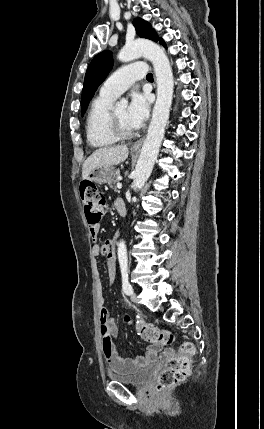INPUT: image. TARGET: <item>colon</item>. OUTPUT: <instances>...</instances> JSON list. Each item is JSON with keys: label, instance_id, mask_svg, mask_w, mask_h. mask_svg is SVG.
<instances>
[{"label": "colon", "instance_id": "colon-1", "mask_svg": "<svg viewBox=\"0 0 264 429\" xmlns=\"http://www.w3.org/2000/svg\"><path fill=\"white\" fill-rule=\"evenodd\" d=\"M80 195L86 219L91 227H96L107 210L106 199L90 181L81 182ZM124 320L126 323H132L128 316H125ZM134 324L138 335L151 344L167 346L174 341V335L166 329H160L154 324L141 320ZM194 354L193 344L186 342L180 346L177 353L168 355L165 368L157 380V390L164 391L188 377L191 373Z\"/></svg>", "mask_w": 264, "mask_h": 429}]
</instances>
